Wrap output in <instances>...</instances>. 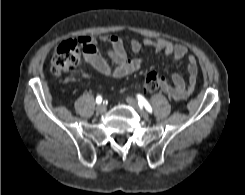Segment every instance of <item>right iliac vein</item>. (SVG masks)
I'll return each mask as SVG.
<instances>
[{
	"mask_svg": "<svg viewBox=\"0 0 245 195\" xmlns=\"http://www.w3.org/2000/svg\"><path fill=\"white\" fill-rule=\"evenodd\" d=\"M97 111H98L99 113L105 112V111H106V105H105L104 103L98 105V106H97Z\"/></svg>",
	"mask_w": 245,
	"mask_h": 195,
	"instance_id": "obj_1",
	"label": "right iliac vein"
}]
</instances>
